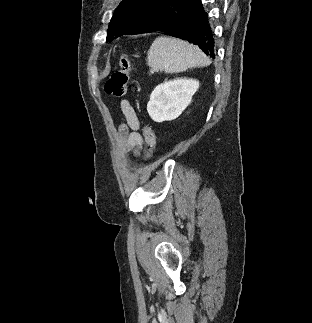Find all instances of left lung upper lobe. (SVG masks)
Wrapping results in <instances>:
<instances>
[{
    "instance_id": "1",
    "label": "left lung upper lobe",
    "mask_w": 312,
    "mask_h": 323,
    "mask_svg": "<svg viewBox=\"0 0 312 323\" xmlns=\"http://www.w3.org/2000/svg\"><path fill=\"white\" fill-rule=\"evenodd\" d=\"M173 0H122L108 28L107 40L125 33L149 32L169 13Z\"/></svg>"
}]
</instances>
